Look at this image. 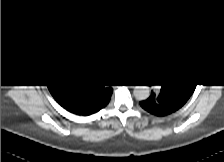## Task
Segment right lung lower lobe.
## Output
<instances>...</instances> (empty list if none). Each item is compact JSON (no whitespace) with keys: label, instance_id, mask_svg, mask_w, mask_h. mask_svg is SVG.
Segmentation results:
<instances>
[{"label":"right lung lower lobe","instance_id":"right-lung-lower-lobe-1","mask_svg":"<svg viewBox=\"0 0 224 162\" xmlns=\"http://www.w3.org/2000/svg\"><path fill=\"white\" fill-rule=\"evenodd\" d=\"M110 96H111V93H109L107 96H105L91 113L85 112V113H81V114H78V115L86 116V115H90L92 113H95V112L99 111L101 108L105 107L109 103Z\"/></svg>","mask_w":224,"mask_h":162}]
</instances>
